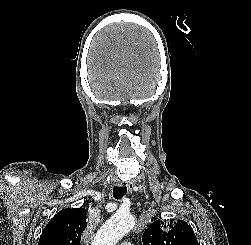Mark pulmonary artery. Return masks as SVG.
<instances>
[{"label":"pulmonary artery","mask_w":251,"mask_h":245,"mask_svg":"<svg viewBox=\"0 0 251 245\" xmlns=\"http://www.w3.org/2000/svg\"><path fill=\"white\" fill-rule=\"evenodd\" d=\"M121 245H131L130 243L124 242Z\"/></svg>","instance_id":"obj_1"}]
</instances>
